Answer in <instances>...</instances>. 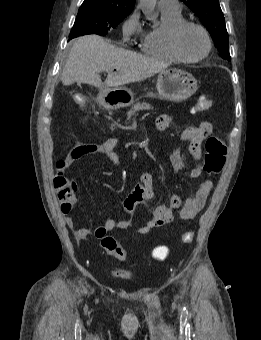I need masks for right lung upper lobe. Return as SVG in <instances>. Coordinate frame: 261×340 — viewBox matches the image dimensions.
Here are the masks:
<instances>
[{
    "instance_id": "obj_1",
    "label": "right lung upper lobe",
    "mask_w": 261,
    "mask_h": 340,
    "mask_svg": "<svg viewBox=\"0 0 261 340\" xmlns=\"http://www.w3.org/2000/svg\"><path fill=\"white\" fill-rule=\"evenodd\" d=\"M135 0H84L81 6H96L117 10L123 14H130Z\"/></svg>"
}]
</instances>
